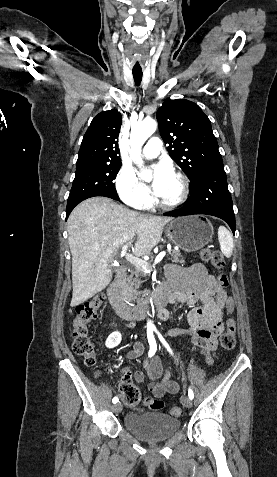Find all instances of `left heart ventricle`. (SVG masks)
Listing matches in <instances>:
<instances>
[{
	"label": "left heart ventricle",
	"instance_id": "1",
	"mask_svg": "<svg viewBox=\"0 0 277 477\" xmlns=\"http://www.w3.org/2000/svg\"><path fill=\"white\" fill-rule=\"evenodd\" d=\"M181 193V184L177 177L174 175L168 182L163 193L159 196L161 200L165 202H172L176 200Z\"/></svg>",
	"mask_w": 277,
	"mask_h": 477
}]
</instances>
